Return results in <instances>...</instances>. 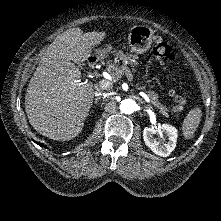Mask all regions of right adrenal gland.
Returning a JSON list of instances; mask_svg holds the SVG:
<instances>
[{"label": "right adrenal gland", "instance_id": "right-adrenal-gland-1", "mask_svg": "<svg viewBox=\"0 0 221 221\" xmlns=\"http://www.w3.org/2000/svg\"><path fill=\"white\" fill-rule=\"evenodd\" d=\"M98 102V99H95V104Z\"/></svg>", "mask_w": 221, "mask_h": 221}]
</instances>
